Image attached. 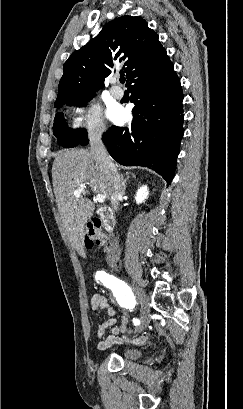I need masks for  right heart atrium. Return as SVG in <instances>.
<instances>
[{
    "label": "right heart atrium",
    "mask_w": 243,
    "mask_h": 409,
    "mask_svg": "<svg viewBox=\"0 0 243 409\" xmlns=\"http://www.w3.org/2000/svg\"><path fill=\"white\" fill-rule=\"evenodd\" d=\"M72 127L90 137H101L106 131L100 107L93 101L75 104L72 108Z\"/></svg>",
    "instance_id": "1"
}]
</instances>
